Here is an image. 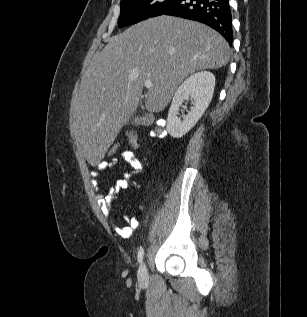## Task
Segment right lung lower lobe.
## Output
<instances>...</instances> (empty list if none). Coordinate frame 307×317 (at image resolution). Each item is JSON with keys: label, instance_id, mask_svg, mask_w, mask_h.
<instances>
[{"label": "right lung lower lobe", "instance_id": "obj_1", "mask_svg": "<svg viewBox=\"0 0 307 317\" xmlns=\"http://www.w3.org/2000/svg\"><path fill=\"white\" fill-rule=\"evenodd\" d=\"M163 14L204 23L232 45V17L228 0H175Z\"/></svg>", "mask_w": 307, "mask_h": 317}]
</instances>
